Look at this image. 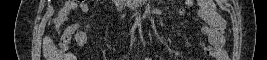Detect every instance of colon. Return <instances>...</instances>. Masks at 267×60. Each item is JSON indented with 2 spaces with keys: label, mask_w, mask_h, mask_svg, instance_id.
<instances>
[{
  "label": "colon",
  "mask_w": 267,
  "mask_h": 60,
  "mask_svg": "<svg viewBox=\"0 0 267 60\" xmlns=\"http://www.w3.org/2000/svg\"><path fill=\"white\" fill-rule=\"evenodd\" d=\"M83 1L82 3H85ZM43 54L48 60H58L62 57V52L54 44L53 40L49 37H46L43 43Z\"/></svg>",
  "instance_id": "1"
}]
</instances>
